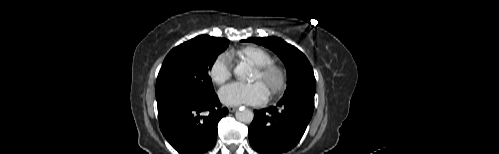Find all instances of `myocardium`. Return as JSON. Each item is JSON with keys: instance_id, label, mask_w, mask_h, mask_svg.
<instances>
[{"instance_id": "obj_1", "label": "myocardium", "mask_w": 499, "mask_h": 154, "mask_svg": "<svg viewBox=\"0 0 499 154\" xmlns=\"http://www.w3.org/2000/svg\"><path fill=\"white\" fill-rule=\"evenodd\" d=\"M256 71L263 81L269 85V94L276 96L282 93L287 84L286 70L279 64L271 62L256 67Z\"/></svg>"}]
</instances>
